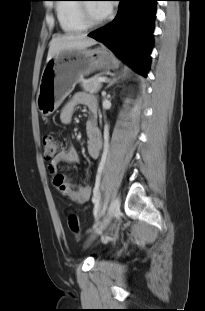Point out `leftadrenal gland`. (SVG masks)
Here are the masks:
<instances>
[{
    "label": "left adrenal gland",
    "mask_w": 205,
    "mask_h": 311,
    "mask_svg": "<svg viewBox=\"0 0 205 311\" xmlns=\"http://www.w3.org/2000/svg\"><path fill=\"white\" fill-rule=\"evenodd\" d=\"M125 75H126V73H124V74L121 75V76L119 75V77H117V78H116V77H113L112 79H109V80H108V85H107L106 89L109 88V87H111L115 82H117L118 79H120L121 77H123V76H125Z\"/></svg>",
    "instance_id": "obj_1"
}]
</instances>
